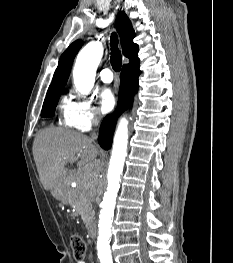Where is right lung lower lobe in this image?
Here are the masks:
<instances>
[{"instance_id":"right-lung-lower-lobe-1","label":"right lung lower lobe","mask_w":233,"mask_h":263,"mask_svg":"<svg viewBox=\"0 0 233 263\" xmlns=\"http://www.w3.org/2000/svg\"><path fill=\"white\" fill-rule=\"evenodd\" d=\"M140 73L139 60L124 65L122 68L120 75L121 85L117 109L114 112L113 116L107 115L103 119L99 130L98 142L104 149H108L111 147L116 118L126 108L131 107L133 104V98L138 87V76Z\"/></svg>"}]
</instances>
